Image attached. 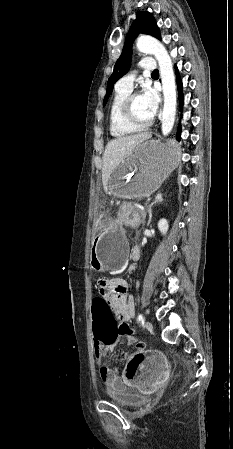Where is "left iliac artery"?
<instances>
[{
    "label": "left iliac artery",
    "instance_id": "1",
    "mask_svg": "<svg viewBox=\"0 0 233 449\" xmlns=\"http://www.w3.org/2000/svg\"><path fill=\"white\" fill-rule=\"evenodd\" d=\"M138 322L141 323V324L144 323V317H143L142 314H139V316H138Z\"/></svg>",
    "mask_w": 233,
    "mask_h": 449
}]
</instances>
